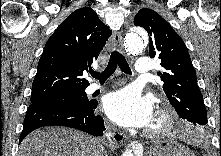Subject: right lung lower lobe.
<instances>
[{"label":"right lung lower lobe","mask_w":221,"mask_h":156,"mask_svg":"<svg viewBox=\"0 0 221 156\" xmlns=\"http://www.w3.org/2000/svg\"><path fill=\"white\" fill-rule=\"evenodd\" d=\"M97 101L87 107L31 104L27 110L19 143L33 130L44 126H66L102 136L103 118L95 113Z\"/></svg>","instance_id":"98d812e1"}]
</instances>
